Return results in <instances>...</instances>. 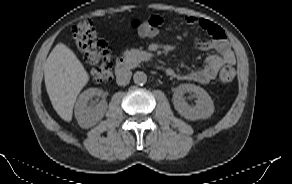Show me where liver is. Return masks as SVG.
<instances>
[{"label": "liver", "instance_id": "obj_1", "mask_svg": "<svg viewBox=\"0 0 292 184\" xmlns=\"http://www.w3.org/2000/svg\"><path fill=\"white\" fill-rule=\"evenodd\" d=\"M44 80L57 114L70 122L76 98L89 81V75L75 53L58 43L44 64Z\"/></svg>", "mask_w": 292, "mask_h": 184}]
</instances>
